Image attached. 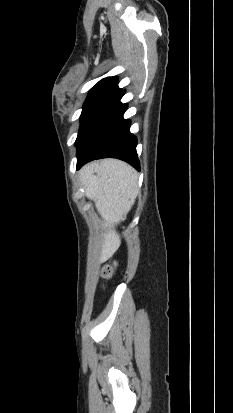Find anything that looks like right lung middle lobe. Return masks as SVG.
<instances>
[{
	"mask_svg": "<svg viewBox=\"0 0 233 413\" xmlns=\"http://www.w3.org/2000/svg\"><path fill=\"white\" fill-rule=\"evenodd\" d=\"M115 83V81H101L90 90L88 97L84 103L83 111L80 117L81 127L76 142L78 141L80 135L86 127L93 112L100 104V102L103 100V98L106 96V94L112 89Z\"/></svg>",
	"mask_w": 233,
	"mask_h": 413,
	"instance_id": "dd1d6c3e",
	"label": "right lung middle lobe"
}]
</instances>
